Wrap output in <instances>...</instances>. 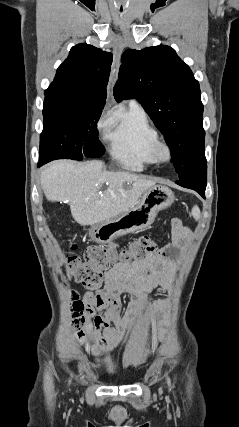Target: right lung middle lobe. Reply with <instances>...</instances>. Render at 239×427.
I'll return each mask as SVG.
<instances>
[{
    "mask_svg": "<svg viewBox=\"0 0 239 427\" xmlns=\"http://www.w3.org/2000/svg\"><path fill=\"white\" fill-rule=\"evenodd\" d=\"M102 109L69 103H44L39 164L62 158L101 157L105 148L98 139L97 122Z\"/></svg>",
    "mask_w": 239,
    "mask_h": 427,
    "instance_id": "obj_1",
    "label": "right lung middle lobe"
}]
</instances>
